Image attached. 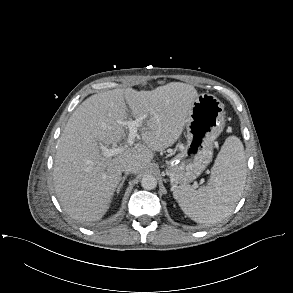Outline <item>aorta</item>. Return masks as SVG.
I'll return each mask as SVG.
<instances>
[{
	"instance_id": "obj_1",
	"label": "aorta",
	"mask_w": 293,
	"mask_h": 293,
	"mask_svg": "<svg viewBox=\"0 0 293 293\" xmlns=\"http://www.w3.org/2000/svg\"><path fill=\"white\" fill-rule=\"evenodd\" d=\"M141 186L146 190H153L157 186V179L152 174H145L141 179Z\"/></svg>"
}]
</instances>
